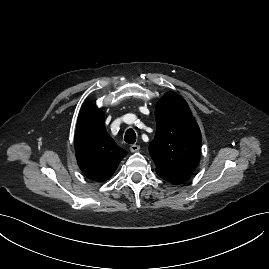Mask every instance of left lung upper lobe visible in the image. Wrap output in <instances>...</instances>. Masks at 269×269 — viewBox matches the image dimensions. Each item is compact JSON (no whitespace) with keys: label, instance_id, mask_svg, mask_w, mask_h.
<instances>
[{"label":"left lung upper lobe","instance_id":"1","mask_svg":"<svg viewBox=\"0 0 269 269\" xmlns=\"http://www.w3.org/2000/svg\"><path fill=\"white\" fill-rule=\"evenodd\" d=\"M156 135L149 146L156 172L190 175L197 167L202 137L185 100L168 92L155 108Z\"/></svg>","mask_w":269,"mask_h":269}]
</instances>
